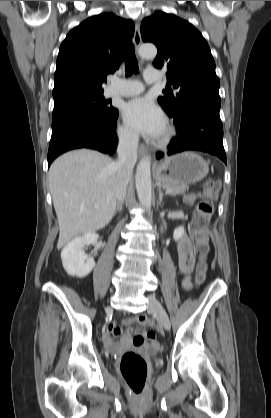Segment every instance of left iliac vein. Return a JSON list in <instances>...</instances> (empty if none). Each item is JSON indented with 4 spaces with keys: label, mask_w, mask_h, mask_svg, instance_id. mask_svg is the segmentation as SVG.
Masks as SVG:
<instances>
[{
    "label": "left iliac vein",
    "mask_w": 271,
    "mask_h": 418,
    "mask_svg": "<svg viewBox=\"0 0 271 418\" xmlns=\"http://www.w3.org/2000/svg\"><path fill=\"white\" fill-rule=\"evenodd\" d=\"M147 298H148V309L156 314L157 318L159 319V322L166 330H170L171 323L161 303L158 301V299L154 295H149Z\"/></svg>",
    "instance_id": "obj_1"
}]
</instances>
